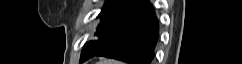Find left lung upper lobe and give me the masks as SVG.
<instances>
[{
	"mask_svg": "<svg viewBox=\"0 0 242 64\" xmlns=\"http://www.w3.org/2000/svg\"><path fill=\"white\" fill-rule=\"evenodd\" d=\"M119 0H106L104 7L101 10V13L98 17H101L106 11H108L109 8H111L115 3H117Z\"/></svg>",
	"mask_w": 242,
	"mask_h": 64,
	"instance_id": "5c2ea615",
	"label": "left lung upper lobe"
}]
</instances>
